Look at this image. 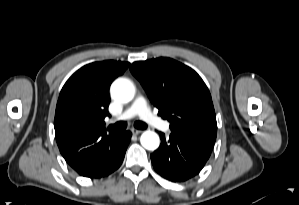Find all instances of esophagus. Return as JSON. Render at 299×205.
Wrapping results in <instances>:
<instances>
[{
	"label": "esophagus",
	"mask_w": 299,
	"mask_h": 205,
	"mask_svg": "<svg viewBox=\"0 0 299 205\" xmlns=\"http://www.w3.org/2000/svg\"><path fill=\"white\" fill-rule=\"evenodd\" d=\"M131 132H132L133 135H138V134H140L142 131H141V130H138V129H135V128H132V129H131Z\"/></svg>",
	"instance_id": "esophagus-1"
}]
</instances>
